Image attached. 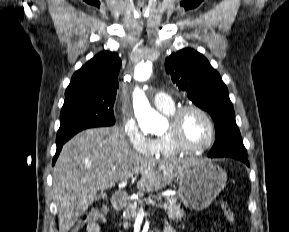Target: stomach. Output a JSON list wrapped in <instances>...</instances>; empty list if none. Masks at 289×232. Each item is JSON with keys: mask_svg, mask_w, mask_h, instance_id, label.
I'll return each instance as SVG.
<instances>
[{"mask_svg": "<svg viewBox=\"0 0 289 232\" xmlns=\"http://www.w3.org/2000/svg\"><path fill=\"white\" fill-rule=\"evenodd\" d=\"M178 197L191 210L211 205L227 182V174L218 165L204 160L192 161L178 176Z\"/></svg>", "mask_w": 289, "mask_h": 232, "instance_id": "0dacf381", "label": "stomach"}]
</instances>
